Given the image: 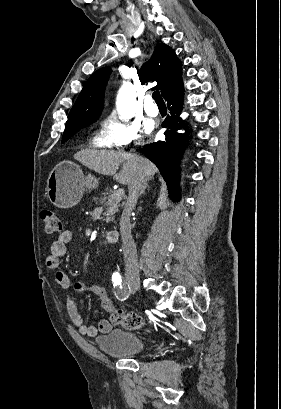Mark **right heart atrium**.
<instances>
[{
    "label": "right heart atrium",
    "mask_w": 281,
    "mask_h": 409,
    "mask_svg": "<svg viewBox=\"0 0 281 409\" xmlns=\"http://www.w3.org/2000/svg\"><path fill=\"white\" fill-rule=\"evenodd\" d=\"M116 108V107H115ZM135 115H118V119H104L98 140L103 146L124 149L140 145L144 135H149L152 126L144 127L134 119Z\"/></svg>",
    "instance_id": "right-heart-atrium-1"
}]
</instances>
